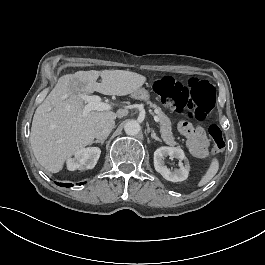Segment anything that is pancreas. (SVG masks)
Listing matches in <instances>:
<instances>
[{
	"mask_svg": "<svg viewBox=\"0 0 265 265\" xmlns=\"http://www.w3.org/2000/svg\"><path fill=\"white\" fill-rule=\"evenodd\" d=\"M147 104H149L151 108H154L155 110L158 111L157 116L160 122V133H161V137L164 140V142L170 146L177 145L172 135L170 119L165 115V113L161 110V108L158 107L156 104H153L150 101H148Z\"/></svg>",
	"mask_w": 265,
	"mask_h": 265,
	"instance_id": "cf45deb5",
	"label": "pancreas"
}]
</instances>
